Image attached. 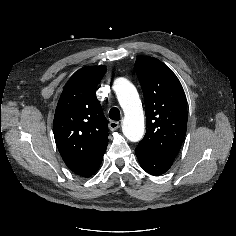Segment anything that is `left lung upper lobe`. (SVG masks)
Returning <instances> with one entry per match:
<instances>
[{"mask_svg":"<svg viewBox=\"0 0 236 236\" xmlns=\"http://www.w3.org/2000/svg\"><path fill=\"white\" fill-rule=\"evenodd\" d=\"M135 69L142 87L146 134L141 148L161 159L173 162L187 129V102L176 75L154 57H141Z\"/></svg>","mask_w":236,"mask_h":236,"instance_id":"obj_1","label":"left lung upper lobe"}]
</instances>
